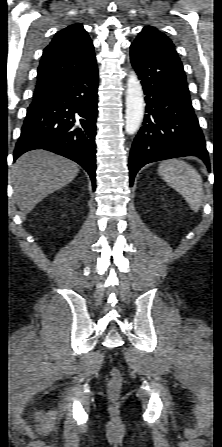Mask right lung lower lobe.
I'll return each instance as SVG.
<instances>
[{"mask_svg": "<svg viewBox=\"0 0 222 447\" xmlns=\"http://www.w3.org/2000/svg\"><path fill=\"white\" fill-rule=\"evenodd\" d=\"M96 59L75 77L27 109L14 160L33 149H44L80 164L96 180Z\"/></svg>", "mask_w": 222, "mask_h": 447, "instance_id": "obj_1", "label": "right lung lower lobe"}]
</instances>
